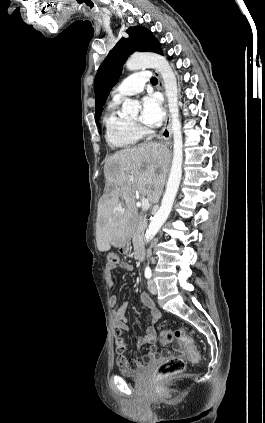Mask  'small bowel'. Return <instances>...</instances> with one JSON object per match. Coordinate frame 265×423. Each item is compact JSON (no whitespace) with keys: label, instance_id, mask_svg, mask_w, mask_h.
Segmentation results:
<instances>
[{"label":"small bowel","instance_id":"small-bowel-1","mask_svg":"<svg viewBox=\"0 0 265 423\" xmlns=\"http://www.w3.org/2000/svg\"><path fill=\"white\" fill-rule=\"evenodd\" d=\"M121 268L125 271H131L133 269L132 265L126 263V262H118V264L116 265H111V264H107L106 266V270H107V279H108V283L110 286L113 285L114 280L113 277L111 275V271L115 268ZM139 298L141 300V302L144 304V306L147 308L148 313H149V317H150V322L149 325L146 329V333L145 336L142 338H139L137 340V342L134 345L135 349L140 348L143 344L147 343L150 345L148 351L146 352L144 358L139 359V360H132L129 359L125 356V350H126V344L125 341L120 338L119 336L123 333L128 331L129 327L127 324V318H126V311L129 307V303L128 302H123L122 304H120L118 307H116L113 310V326L115 329V333H116V341H115V345H116V349L119 353V363L121 364V362H127L130 361L132 362L135 367H141L145 364L146 360L148 359H152L157 355V351L156 348L154 346L155 340H156V330H155V325L158 322V320L160 319V312L159 310L155 307L153 301L144 293H141L139 295ZM110 303L112 306H115L117 304V297L115 295L111 296L110 298Z\"/></svg>","mask_w":265,"mask_h":423}]
</instances>
